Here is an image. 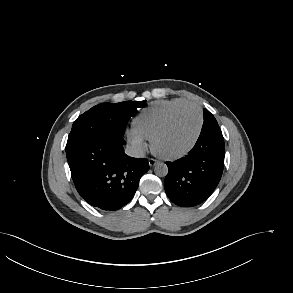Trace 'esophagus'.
Instances as JSON below:
<instances>
[{"label": "esophagus", "instance_id": "obj_1", "mask_svg": "<svg viewBox=\"0 0 293 293\" xmlns=\"http://www.w3.org/2000/svg\"><path fill=\"white\" fill-rule=\"evenodd\" d=\"M157 160L153 159V158H149L148 163L151 167H153L154 165L157 164Z\"/></svg>", "mask_w": 293, "mask_h": 293}]
</instances>
